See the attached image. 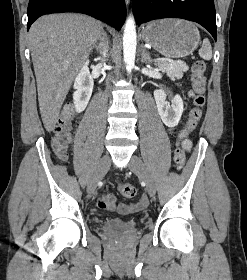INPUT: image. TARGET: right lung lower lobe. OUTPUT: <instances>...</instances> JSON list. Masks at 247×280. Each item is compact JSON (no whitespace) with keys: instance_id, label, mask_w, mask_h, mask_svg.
Masks as SVG:
<instances>
[{"instance_id":"1","label":"right lung lower lobe","mask_w":247,"mask_h":280,"mask_svg":"<svg viewBox=\"0 0 247 280\" xmlns=\"http://www.w3.org/2000/svg\"><path fill=\"white\" fill-rule=\"evenodd\" d=\"M79 12L100 19L116 30L125 22L124 0H30L27 29L40 16L48 13Z\"/></svg>"}]
</instances>
